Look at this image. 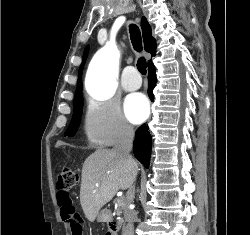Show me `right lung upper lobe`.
<instances>
[{
  "label": "right lung upper lobe",
  "mask_w": 250,
  "mask_h": 235,
  "mask_svg": "<svg viewBox=\"0 0 250 235\" xmlns=\"http://www.w3.org/2000/svg\"><path fill=\"white\" fill-rule=\"evenodd\" d=\"M141 28H142V33H143L144 48L147 52H150L152 56H155L156 42H155V39L152 37L151 27L145 17H143L141 20ZM87 52H88V48H86L84 52L83 62H82V65L80 67V72H79L78 88L76 90L75 96L82 94L81 75H82L83 64L85 62ZM150 61L151 60H149V62Z\"/></svg>",
  "instance_id": "cb5924a9"
}]
</instances>
